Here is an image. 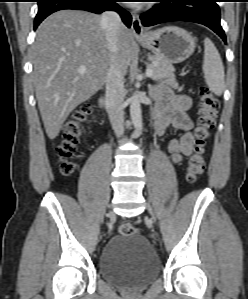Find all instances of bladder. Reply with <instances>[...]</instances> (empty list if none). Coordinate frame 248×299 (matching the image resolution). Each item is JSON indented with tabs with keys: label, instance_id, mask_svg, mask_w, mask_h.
Instances as JSON below:
<instances>
[{
	"label": "bladder",
	"instance_id": "1",
	"mask_svg": "<svg viewBox=\"0 0 248 299\" xmlns=\"http://www.w3.org/2000/svg\"><path fill=\"white\" fill-rule=\"evenodd\" d=\"M99 270L110 283L127 289L146 286L159 274L156 253L141 234L115 235L103 247Z\"/></svg>",
	"mask_w": 248,
	"mask_h": 299
}]
</instances>
